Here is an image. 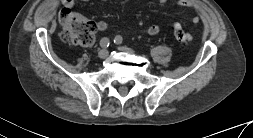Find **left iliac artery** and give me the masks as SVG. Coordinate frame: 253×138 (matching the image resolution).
I'll use <instances>...</instances> for the list:
<instances>
[{
  "label": "left iliac artery",
  "instance_id": "left-iliac-artery-1",
  "mask_svg": "<svg viewBox=\"0 0 253 138\" xmlns=\"http://www.w3.org/2000/svg\"><path fill=\"white\" fill-rule=\"evenodd\" d=\"M114 42L116 44H121L123 42V37L120 36V35L116 36L115 39H114Z\"/></svg>",
  "mask_w": 253,
  "mask_h": 138
}]
</instances>
